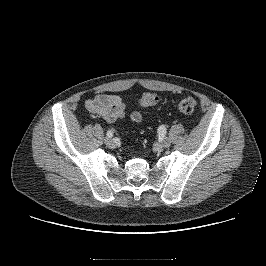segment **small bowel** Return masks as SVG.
I'll use <instances>...</instances> for the list:
<instances>
[{
    "label": "small bowel",
    "mask_w": 266,
    "mask_h": 266,
    "mask_svg": "<svg viewBox=\"0 0 266 266\" xmlns=\"http://www.w3.org/2000/svg\"><path fill=\"white\" fill-rule=\"evenodd\" d=\"M86 109L107 122H115L126 116H128L133 123L142 121V114L137 110H130L128 112L124 100L117 94H97L87 101Z\"/></svg>",
    "instance_id": "obj_1"
}]
</instances>
